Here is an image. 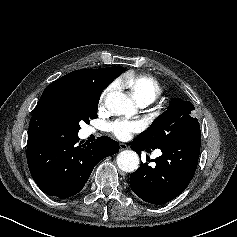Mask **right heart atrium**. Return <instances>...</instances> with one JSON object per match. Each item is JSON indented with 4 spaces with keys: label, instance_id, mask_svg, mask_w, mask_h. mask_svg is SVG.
<instances>
[{
    "label": "right heart atrium",
    "instance_id": "d8ad5b80",
    "mask_svg": "<svg viewBox=\"0 0 237 237\" xmlns=\"http://www.w3.org/2000/svg\"><path fill=\"white\" fill-rule=\"evenodd\" d=\"M114 89H115V85H110L103 90L99 99L100 104H104L106 98Z\"/></svg>",
    "mask_w": 237,
    "mask_h": 237
}]
</instances>
